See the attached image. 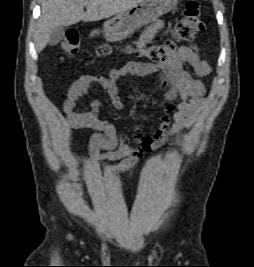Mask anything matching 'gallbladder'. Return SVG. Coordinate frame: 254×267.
<instances>
[{"label":"gallbladder","instance_id":"1","mask_svg":"<svg viewBox=\"0 0 254 267\" xmlns=\"http://www.w3.org/2000/svg\"><path fill=\"white\" fill-rule=\"evenodd\" d=\"M65 36V29L64 27H56L52 33L50 34L48 44L50 46L57 45Z\"/></svg>","mask_w":254,"mask_h":267}]
</instances>
